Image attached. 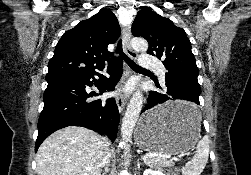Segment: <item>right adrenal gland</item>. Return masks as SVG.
<instances>
[{"mask_svg":"<svg viewBox=\"0 0 251 175\" xmlns=\"http://www.w3.org/2000/svg\"><path fill=\"white\" fill-rule=\"evenodd\" d=\"M109 165H105L102 175H108Z\"/></svg>","mask_w":251,"mask_h":175,"instance_id":"2a0ac1e0","label":"right adrenal gland"}]
</instances>
